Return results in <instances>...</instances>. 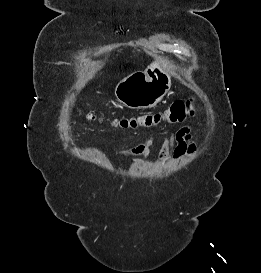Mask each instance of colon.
Instances as JSON below:
<instances>
[{"label":"colon","instance_id":"colon-1","mask_svg":"<svg viewBox=\"0 0 261 273\" xmlns=\"http://www.w3.org/2000/svg\"><path fill=\"white\" fill-rule=\"evenodd\" d=\"M195 113L192 100L175 101L161 112L149 113L138 117H126L115 120L120 128L154 127L162 123H180ZM94 119V116H91Z\"/></svg>","mask_w":261,"mask_h":273}]
</instances>
